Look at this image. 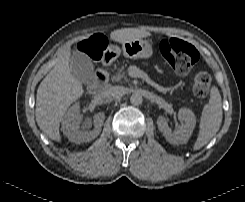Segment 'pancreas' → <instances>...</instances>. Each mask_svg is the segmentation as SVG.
Returning a JSON list of instances; mask_svg holds the SVG:
<instances>
[{
	"mask_svg": "<svg viewBox=\"0 0 245 202\" xmlns=\"http://www.w3.org/2000/svg\"><path fill=\"white\" fill-rule=\"evenodd\" d=\"M125 66H122L113 76L112 81H122L123 79L126 80V75L124 72Z\"/></svg>",
	"mask_w": 245,
	"mask_h": 202,
	"instance_id": "cf45deb5",
	"label": "pancreas"
}]
</instances>
